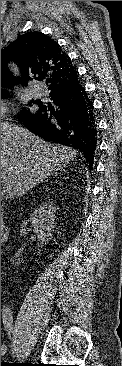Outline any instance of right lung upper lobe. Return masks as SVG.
<instances>
[{"mask_svg": "<svg viewBox=\"0 0 122 366\" xmlns=\"http://www.w3.org/2000/svg\"><path fill=\"white\" fill-rule=\"evenodd\" d=\"M7 60L19 64L22 78L18 80L12 77L5 65ZM77 73L59 44L41 32L26 33L1 51L2 85L19 82L26 84L33 78L44 77L49 87H53L69 82Z\"/></svg>", "mask_w": 122, "mask_h": 366, "instance_id": "cb5924a9", "label": "right lung upper lobe"}]
</instances>
